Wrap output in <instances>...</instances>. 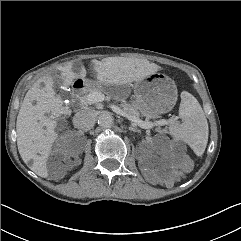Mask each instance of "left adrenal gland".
<instances>
[{"mask_svg":"<svg viewBox=\"0 0 241 241\" xmlns=\"http://www.w3.org/2000/svg\"><path fill=\"white\" fill-rule=\"evenodd\" d=\"M129 130L134 131V132H140V130L137 129L134 125H131V126L129 127Z\"/></svg>","mask_w":241,"mask_h":241,"instance_id":"a2214340","label":"left adrenal gland"}]
</instances>
